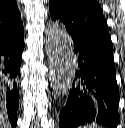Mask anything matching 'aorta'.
<instances>
[{
  "label": "aorta",
  "instance_id": "obj_1",
  "mask_svg": "<svg viewBox=\"0 0 125 128\" xmlns=\"http://www.w3.org/2000/svg\"><path fill=\"white\" fill-rule=\"evenodd\" d=\"M45 34L53 89L56 96L65 97L75 75L76 57L72 39L65 26L57 21L49 23Z\"/></svg>",
  "mask_w": 125,
  "mask_h": 128
}]
</instances>
